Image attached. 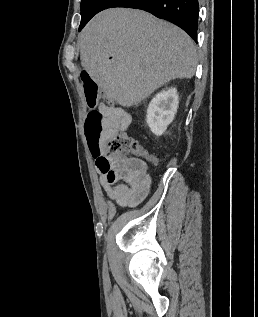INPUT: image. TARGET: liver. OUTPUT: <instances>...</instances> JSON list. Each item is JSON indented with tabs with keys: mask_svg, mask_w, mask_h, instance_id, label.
<instances>
[{
	"mask_svg": "<svg viewBox=\"0 0 258 317\" xmlns=\"http://www.w3.org/2000/svg\"><path fill=\"white\" fill-rule=\"evenodd\" d=\"M81 64L104 98L133 106L172 78L195 74V44L178 26L135 8H108L79 36Z\"/></svg>",
	"mask_w": 258,
	"mask_h": 317,
	"instance_id": "liver-1",
	"label": "liver"
}]
</instances>
